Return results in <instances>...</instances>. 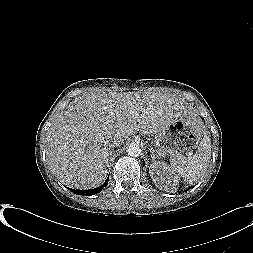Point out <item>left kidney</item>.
Listing matches in <instances>:
<instances>
[{"label": "left kidney", "mask_w": 253, "mask_h": 253, "mask_svg": "<svg viewBox=\"0 0 253 253\" xmlns=\"http://www.w3.org/2000/svg\"><path fill=\"white\" fill-rule=\"evenodd\" d=\"M151 174L155 185L166 192H174L179 185L178 176L164 162L151 164Z\"/></svg>", "instance_id": "5707ae66"}]
</instances>
